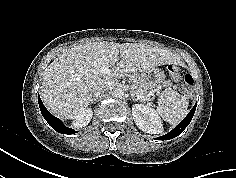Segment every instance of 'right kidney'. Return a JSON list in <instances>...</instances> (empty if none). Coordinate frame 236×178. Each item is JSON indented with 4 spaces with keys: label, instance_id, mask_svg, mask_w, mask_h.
Masks as SVG:
<instances>
[{
    "label": "right kidney",
    "instance_id": "ca27d5eb",
    "mask_svg": "<svg viewBox=\"0 0 236 178\" xmlns=\"http://www.w3.org/2000/svg\"><path fill=\"white\" fill-rule=\"evenodd\" d=\"M92 116H93V112L91 108L84 109L82 113H80L74 118L73 126L76 128H82L83 126L88 125Z\"/></svg>",
    "mask_w": 236,
    "mask_h": 178
}]
</instances>
